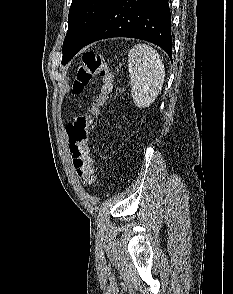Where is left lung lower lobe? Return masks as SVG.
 <instances>
[{"label": "left lung lower lobe", "mask_w": 233, "mask_h": 294, "mask_svg": "<svg viewBox=\"0 0 233 294\" xmlns=\"http://www.w3.org/2000/svg\"><path fill=\"white\" fill-rule=\"evenodd\" d=\"M113 37L149 41L160 46L171 58V14L168 0H110L82 47Z\"/></svg>", "instance_id": "obj_1"}]
</instances>
